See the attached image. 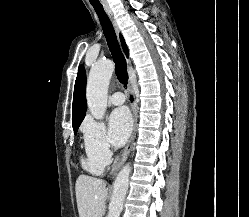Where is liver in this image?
Returning <instances> with one entry per match:
<instances>
[{
	"mask_svg": "<svg viewBox=\"0 0 249 217\" xmlns=\"http://www.w3.org/2000/svg\"><path fill=\"white\" fill-rule=\"evenodd\" d=\"M79 217H102L108 189L103 180L80 175L75 184Z\"/></svg>",
	"mask_w": 249,
	"mask_h": 217,
	"instance_id": "6515ba94",
	"label": "liver"
}]
</instances>
